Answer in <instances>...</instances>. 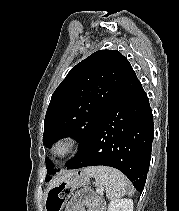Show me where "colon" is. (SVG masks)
Returning a JSON list of instances; mask_svg holds the SVG:
<instances>
[{
  "label": "colon",
  "mask_w": 179,
  "mask_h": 211,
  "mask_svg": "<svg viewBox=\"0 0 179 211\" xmlns=\"http://www.w3.org/2000/svg\"><path fill=\"white\" fill-rule=\"evenodd\" d=\"M70 194V190L67 186L61 185L53 190H51L48 194L46 207L48 211H60L62 205L68 195Z\"/></svg>",
  "instance_id": "1"
}]
</instances>
